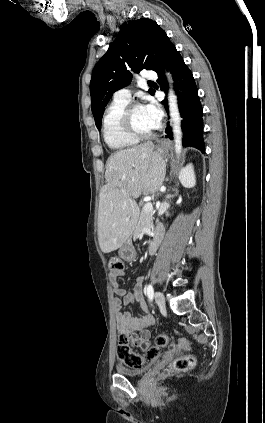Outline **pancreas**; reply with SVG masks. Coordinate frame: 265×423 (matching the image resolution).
Returning a JSON list of instances; mask_svg holds the SVG:
<instances>
[{
  "instance_id": "cf45deb5",
  "label": "pancreas",
  "mask_w": 265,
  "mask_h": 423,
  "mask_svg": "<svg viewBox=\"0 0 265 423\" xmlns=\"http://www.w3.org/2000/svg\"><path fill=\"white\" fill-rule=\"evenodd\" d=\"M144 204H142L143 206ZM152 213H147L143 209L141 210L139 220L137 222L136 228L134 230V236L138 238L144 227L151 228L152 226Z\"/></svg>"
}]
</instances>
